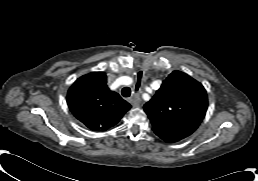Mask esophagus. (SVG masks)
<instances>
[{"label": "esophagus", "instance_id": "1", "mask_svg": "<svg viewBox=\"0 0 258 181\" xmlns=\"http://www.w3.org/2000/svg\"><path fill=\"white\" fill-rule=\"evenodd\" d=\"M130 102H131V104H132L133 106L138 107V106H140V104H141V99H140L139 95H138L137 93H135V94L131 97Z\"/></svg>", "mask_w": 258, "mask_h": 181}]
</instances>
